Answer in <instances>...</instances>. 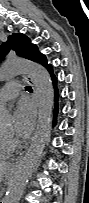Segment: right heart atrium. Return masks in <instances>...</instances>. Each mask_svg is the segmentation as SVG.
I'll list each match as a JSON object with an SVG mask.
<instances>
[{"label":"right heart atrium","mask_w":89,"mask_h":203,"mask_svg":"<svg viewBox=\"0 0 89 203\" xmlns=\"http://www.w3.org/2000/svg\"><path fill=\"white\" fill-rule=\"evenodd\" d=\"M9 142H12V143H13V141H12L11 139L9 140Z\"/></svg>","instance_id":"d8ad5b80"}]
</instances>
